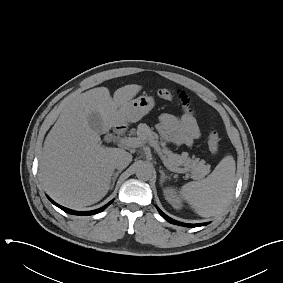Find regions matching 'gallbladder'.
<instances>
[{
  "label": "gallbladder",
  "instance_id": "bac80fb5",
  "mask_svg": "<svg viewBox=\"0 0 283 283\" xmlns=\"http://www.w3.org/2000/svg\"><path fill=\"white\" fill-rule=\"evenodd\" d=\"M88 122H89L91 129H93L97 133L102 132L103 122H102V119H101V117L98 113H92L88 117Z\"/></svg>",
  "mask_w": 283,
  "mask_h": 283
}]
</instances>
